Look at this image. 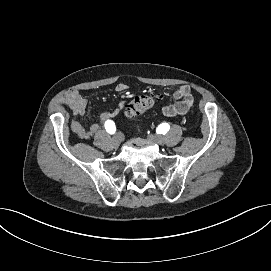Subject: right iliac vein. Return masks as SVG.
<instances>
[{
	"label": "right iliac vein",
	"instance_id": "right-iliac-vein-1",
	"mask_svg": "<svg viewBox=\"0 0 271 271\" xmlns=\"http://www.w3.org/2000/svg\"><path fill=\"white\" fill-rule=\"evenodd\" d=\"M113 141H114V143H115L116 145H119V144L121 143V141H122L121 134H117V135L114 137Z\"/></svg>",
	"mask_w": 271,
	"mask_h": 271
}]
</instances>
